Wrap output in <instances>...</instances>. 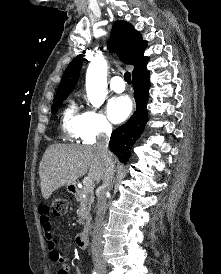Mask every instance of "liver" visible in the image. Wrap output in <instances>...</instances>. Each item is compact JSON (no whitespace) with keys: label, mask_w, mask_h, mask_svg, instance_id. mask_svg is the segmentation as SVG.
<instances>
[{"label":"liver","mask_w":221,"mask_h":274,"mask_svg":"<svg viewBox=\"0 0 221 274\" xmlns=\"http://www.w3.org/2000/svg\"><path fill=\"white\" fill-rule=\"evenodd\" d=\"M105 170V160L95 146L50 145L39 166L42 196L49 199L54 191L75 184L87 172L88 178L99 183Z\"/></svg>","instance_id":"6515ba94"}]
</instances>
